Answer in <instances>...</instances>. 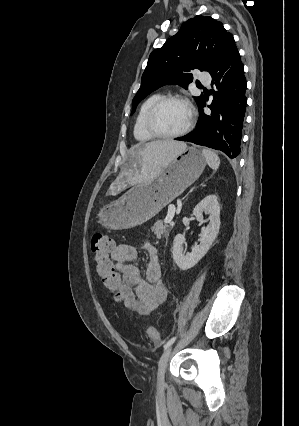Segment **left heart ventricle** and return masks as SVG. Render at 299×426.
I'll return each mask as SVG.
<instances>
[{"mask_svg":"<svg viewBox=\"0 0 299 426\" xmlns=\"http://www.w3.org/2000/svg\"><path fill=\"white\" fill-rule=\"evenodd\" d=\"M189 119V110L181 102H169L162 106L155 117L156 127L164 133H175L183 129Z\"/></svg>","mask_w":299,"mask_h":426,"instance_id":"b2bd125f","label":"left heart ventricle"}]
</instances>
